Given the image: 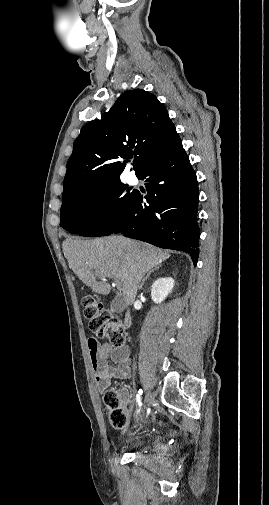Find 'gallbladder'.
I'll return each mask as SVG.
<instances>
[{"instance_id": "bac80fb5", "label": "gallbladder", "mask_w": 269, "mask_h": 505, "mask_svg": "<svg viewBox=\"0 0 269 505\" xmlns=\"http://www.w3.org/2000/svg\"><path fill=\"white\" fill-rule=\"evenodd\" d=\"M126 304L123 297H115L110 304V311L112 313H121L125 310Z\"/></svg>"}]
</instances>
